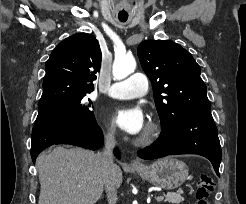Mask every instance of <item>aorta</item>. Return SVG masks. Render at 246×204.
Masks as SVG:
<instances>
[{
  "label": "aorta",
  "instance_id": "obj_1",
  "mask_svg": "<svg viewBox=\"0 0 246 204\" xmlns=\"http://www.w3.org/2000/svg\"><path fill=\"white\" fill-rule=\"evenodd\" d=\"M136 61L133 56L124 55L116 57L113 63V76L117 80L126 78L134 72Z\"/></svg>",
  "mask_w": 246,
  "mask_h": 204
}]
</instances>
